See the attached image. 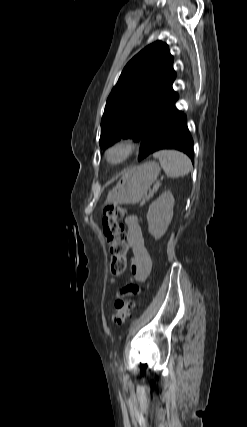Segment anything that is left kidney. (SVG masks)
I'll use <instances>...</instances> for the list:
<instances>
[{
    "label": "left kidney",
    "instance_id": "obj_1",
    "mask_svg": "<svg viewBox=\"0 0 247 427\" xmlns=\"http://www.w3.org/2000/svg\"><path fill=\"white\" fill-rule=\"evenodd\" d=\"M174 203L172 193L165 191L150 204L147 213L148 230L155 240L166 233L173 217Z\"/></svg>",
    "mask_w": 247,
    "mask_h": 427
}]
</instances>
